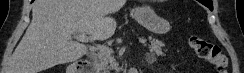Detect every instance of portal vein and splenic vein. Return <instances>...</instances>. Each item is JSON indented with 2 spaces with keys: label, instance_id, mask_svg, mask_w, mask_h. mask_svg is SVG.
<instances>
[{
  "label": "portal vein and splenic vein",
  "instance_id": "1",
  "mask_svg": "<svg viewBox=\"0 0 244 73\" xmlns=\"http://www.w3.org/2000/svg\"><path fill=\"white\" fill-rule=\"evenodd\" d=\"M76 38L79 41L85 42V43H87L89 41V38L85 34H77L76 35ZM139 42L144 44V43L147 42V40L146 39H140ZM96 49L99 50L100 52H109V51H112L108 47L101 46V45H97Z\"/></svg>",
  "mask_w": 244,
  "mask_h": 73
}]
</instances>
